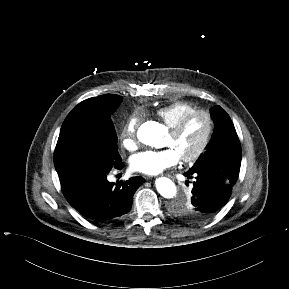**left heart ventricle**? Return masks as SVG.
<instances>
[{
    "mask_svg": "<svg viewBox=\"0 0 289 289\" xmlns=\"http://www.w3.org/2000/svg\"><path fill=\"white\" fill-rule=\"evenodd\" d=\"M207 130V122L204 116L198 115L191 118L183 130L173 136L170 133L166 137L165 145L172 147L179 157L191 155L200 146Z\"/></svg>",
    "mask_w": 289,
    "mask_h": 289,
    "instance_id": "obj_1",
    "label": "left heart ventricle"
}]
</instances>
